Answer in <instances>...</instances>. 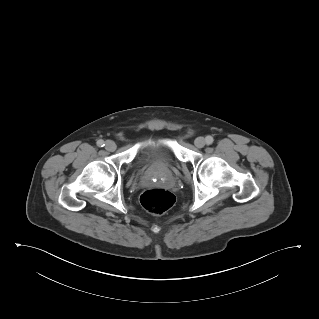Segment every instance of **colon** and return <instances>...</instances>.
I'll use <instances>...</instances> for the list:
<instances>
[{
	"instance_id": "colon-1",
	"label": "colon",
	"mask_w": 319,
	"mask_h": 319,
	"mask_svg": "<svg viewBox=\"0 0 319 319\" xmlns=\"http://www.w3.org/2000/svg\"><path fill=\"white\" fill-rule=\"evenodd\" d=\"M140 203L150 214L161 215L173 207L175 196L168 190L151 188L141 194Z\"/></svg>"
}]
</instances>
